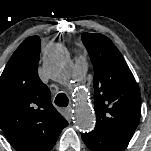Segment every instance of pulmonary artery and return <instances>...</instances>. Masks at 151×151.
Instances as JSON below:
<instances>
[{"label":"pulmonary artery","mask_w":151,"mask_h":151,"mask_svg":"<svg viewBox=\"0 0 151 151\" xmlns=\"http://www.w3.org/2000/svg\"><path fill=\"white\" fill-rule=\"evenodd\" d=\"M76 67H77V69H78L79 72L83 71V68H84V61H83V59L78 58L76 60Z\"/></svg>","instance_id":"e3ab8cb5"}]
</instances>
